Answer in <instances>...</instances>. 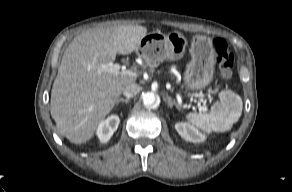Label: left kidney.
I'll return each mask as SVG.
<instances>
[{"instance_id": "5707ae66", "label": "left kidney", "mask_w": 292, "mask_h": 192, "mask_svg": "<svg viewBox=\"0 0 292 192\" xmlns=\"http://www.w3.org/2000/svg\"><path fill=\"white\" fill-rule=\"evenodd\" d=\"M175 129L186 141L200 143L205 140V135L189 123L179 122L175 124Z\"/></svg>"}]
</instances>
